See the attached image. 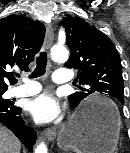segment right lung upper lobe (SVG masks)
<instances>
[{"label":"right lung upper lobe","instance_id":"right-lung-upper-lobe-1","mask_svg":"<svg viewBox=\"0 0 130 153\" xmlns=\"http://www.w3.org/2000/svg\"><path fill=\"white\" fill-rule=\"evenodd\" d=\"M44 36L45 26L39 21L19 15L0 19V91L17 82L11 68L29 70Z\"/></svg>","mask_w":130,"mask_h":153}]
</instances>
